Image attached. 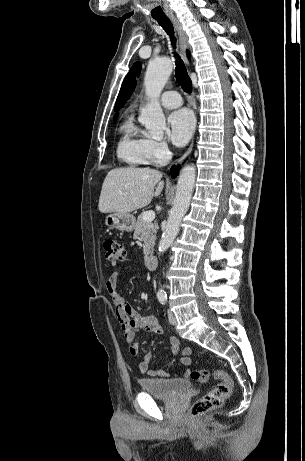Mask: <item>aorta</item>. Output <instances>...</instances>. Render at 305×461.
Listing matches in <instances>:
<instances>
[{
    "instance_id": "aorta-1",
    "label": "aorta",
    "mask_w": 305,
    "mask_h": 461,
    "mask_svg": "<svg viewBox=\"0 0 305 461\" xmlns=\"http://www.w3.org/2000/svg\"><path fill=\"white\" fill-rule=\"evenodd\" d=\"M172 69L173 65L169 58L151 60L144 77V86L150 101L141 111L140 122L145 126L148 133L157 139L163 137L166 128L165 116L158 102V97L171 75ZM195 178L196 169L193 165H187L182 169L178 178L174 205L159 242V253H164L170 247L179 232L181 220L190 205ZM158 295L163 296L164 291L159 289Z\"/></svg>"
}]
</instances>
